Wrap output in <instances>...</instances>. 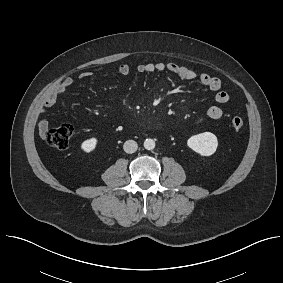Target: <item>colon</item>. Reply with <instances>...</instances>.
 Here are the masks:
<instances>
[{
    "mask_svg": "<svg viewBox=\"0 0 283 283\" xmlns=\"http://www.w3.org/2000/svg\"><path fill=\"white\" fill-rule=\"evenodd\" d=\"M230 124L234 129H241L244 125V120L240 116H234ZM72 135V126L70 124H62L47 132L46 141L53 148L63 150L69 146Z\"/></svg>",
    "mask_w": 283,
    "mask_h": 283,
    "instance_id": "colon-1",
    "label": "colon"
}]
</instances>
